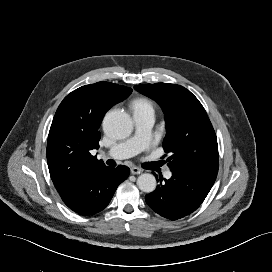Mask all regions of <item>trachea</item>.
Masks as SVG:
<instances>
[{"label":"trachea","mask_w":272,"mask_h":272,"mask_svg":"<svg viewBox=\"0 0 272 272\" xmlns=\"http://www.w3.org/2000/svg\"><path fill=\"white\" fill-rule=\"evenodd\" d=\"M107 164L113 166V160H112V159H109V160L107 161Z\"/></svg>","instance_id":"3493384b"}]
</instances>
